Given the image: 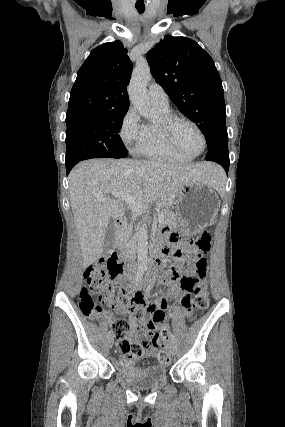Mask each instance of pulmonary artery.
<instances>
[{"instance_id":"obj_1","label":"pulmonary artery","mask_w":285,"mask_h":427,"mask_svg":"<svg viewBox=\"0 0 285 427\" xmlns=\"http://www.w3.org/2000/svg\"><path fill=\"white\" fill-rule=\"evenodd\" d=\"M148 94L154 105L159 107H169V97L160 85H150Z\"/></svg>"}]
</instances>
